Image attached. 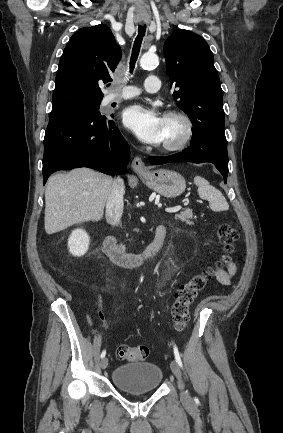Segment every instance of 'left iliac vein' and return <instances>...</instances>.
Returning a JSON list of instances; mask_svg holds the SVG:
<instances>
[{
  "label": "left iliac vein",
  "mask_w": 283,
  "mask_h": 433,
  "mask_svg": "<svg viewBox=\"0 0 283 433\" xmlns=\"http://www.w3.org/2000/svg\"><path fill=\"white\" fill-rule=\"evenodd\" d=\"M170 367H171V370L173 371L174 375L178 379V383H179V386L181 389L180 396L183 399L184 404L187 406H190L191 405V398H190L189 394L184 390V384L182 381L181 370L179 368L178 363L175 360H172L170 363Z\"/></svg>",
  "instance_id": "4c4485c4"
}]
</instances>
